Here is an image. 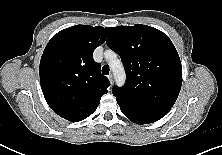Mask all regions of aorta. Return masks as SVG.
Listing matches in <instances>:
<instances>
[{
	"instance_id": "obj_1",
	"label": "aorta",
	"mask_w": 222,
	"mask_h": 155,
	"mask_svg": "<svg viewBox=\"0 0 222 155\" xmlns=\"http://www.w3.org/2000/svg\"><path fill=\"white\" fill-rule=\"evenodd\" d=\"M110 67L113 71L116 84L118 86H122L125 83L126 74L121 61L116 58L112 59L110 61Z\"/></svg>"
}]
</instances>
